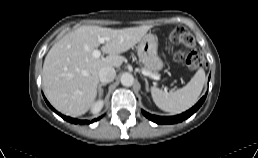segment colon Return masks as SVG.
<instances>
[{"label":"colon","mask_w":258,"mask_h":158,"mask_svg":"<svg viewBox=\"0 0 258 158\" xmlns=\"http://www.w3.org/2000/svg\"><path fill=\"white\" fill-rule=\"evenodd\" d=\"M169 40L174 44L182 45L174 55L175 61L185 63L193 71L205 66L203 55L194 48L193 36L184 27L174 28L169 34Z\"/></svg>","instance_id":"colon-1"}]
</instances>
